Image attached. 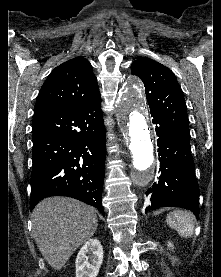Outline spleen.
I'll return each instance as SVG.
<instances>
[{
  "mask_svg": "<svg viewBox=\"0 0 221 277\" xmlns=\"http://www.w3.org/2000/svg\"><path fill=\"white\" fill-rule=\"evenodd\" d=\"M166 222L181 237L189 238L194 233V216L190 212L175 210L167 215Z\"/></svg>",
  "mask_w": 221,
  "mask_h": 277,
  "instance_id": "obj_1",
  "label": "spleen"
}]
</instances>
